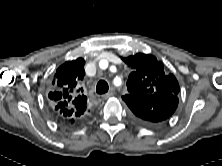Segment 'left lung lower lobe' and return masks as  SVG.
I'll use <instances>...</instances> for the list:
<instances>
[{"instance_id":"left-lung-lower-lobe-1","label":"left lung lower lobe","mask_w":222,"mask_h":166,"mask_svg":"<svg viewBox=\"0 0 222 166\" xmlns=\"http://www.w3.org/2000/svg\"><path fill=\"white\" fill-rule=\"evenodd\" d=\"M132 102L136 105L131 109L135 119L143 124L153 125L163 122L174 113L178 106V97L175 95L162 97L154 104L149 103L145 98L132 97ZM140 104L145 106V109H141ZM144 111L147 113L145 114Z\"/></svg>"}]
</instances>
